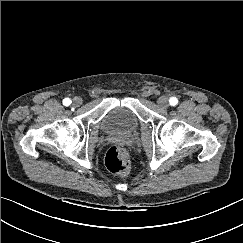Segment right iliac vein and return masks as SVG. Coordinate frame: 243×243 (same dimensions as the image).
Listing matches in <instances>:
<instances>
[{
  "mask_svg": "<svg viewBox=\"0 0 243 243\" xmlns=\"http://www.w3.org/2000/svg\"><path fill=\"white\" fill-rule=\"evenodd\" d=\"M81 104H82V98H80L78 96H76V97L73 98L72 105L74 107H79Z\"/></svg>",
  "mask_w": 243,
  "mask_h": 243,
  "instance_id": "right-iliac-vein-1",
  "label": "right iliac vein"
}]
</instances>
